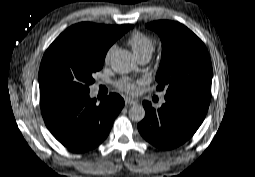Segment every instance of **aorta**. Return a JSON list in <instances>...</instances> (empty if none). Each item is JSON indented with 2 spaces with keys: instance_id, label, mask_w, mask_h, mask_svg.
Here are the masks:
<instances>
[{
  "instance_id": "obj_1",
  "label": "aorta",
  "mask_w": 255,
  "mask_h": 177,
  "mask_svg": "<svg viewBox=\"0 0 255 177\" xmlns=\"http://www.w3.org/2000/svg\"><path fill=\"white\" fill-rule=\"evenodd\" d=\"M111 67L119 74H128L132 72L136 64L131 52L119 49L111 56ZM129 118L134 122H140L145 118V109L142 105L134 104L128 111Z\"/></svg>"
}]
</instances>
